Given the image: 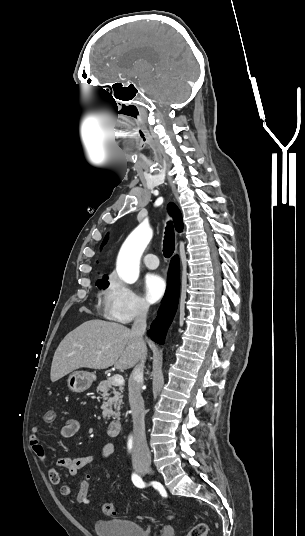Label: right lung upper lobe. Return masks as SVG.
Listing matches in <instances>:
<instances>
[{
  "label": "right lung upper lobe",
  "mask_w": 305,
  "mask_h": 536,
  "mask_svg": "<svg viewBox=\"0 0 305 536\" xmlns=\"http://www.w3.org/2000/svg\"><path fill=\"white\" fill-rule=\"evenodd\" d=\"M168 210L169 212L171 213L172 217H173V220H174V224H175V228L178 232H181L182 229H183V220H182V216H181V213H180V210L178 209V207L173 204V203H170L168 205ZM106 240L107 238L104 239L102 245H101V248L103 247V245L106 243Z\"/></svg>",
  "instance_id": "1"
}]
</instances>
